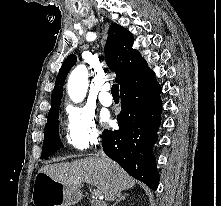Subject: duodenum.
<instances>
[{
    "label": "duodenum",
    "instance_id": "duodenum-1",
    "mask_svg": "<svg viewBox=\"0 0 221 206\" xmlns=\"http://www.w3.org/2000/svg\"><path fill=\"white\" fill-rule=\"evenodd\" d=\"M89 206H106L103 202L95 199V198H91L89 200Z\"/></svg>",
    "mask_w": 221,
    "mask_h": 206
}]
</instances>
